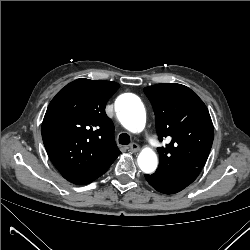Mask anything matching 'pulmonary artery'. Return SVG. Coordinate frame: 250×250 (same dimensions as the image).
Here are the masks:
<instances>
[{"mask_svg":"<svg viewBox=\"0 0 250 250\" xmlns=\"http://www.w3.org/2000/svg\"><path fill=\"white\" fill-rule=\"evenodd\" d=\"M149 145H150L152 148H154V149H156V148L158 147L157 142L154 141V140H152V139L149 140Z\"/></svg>","mask_w":250,"mask_h":250,"instance_id":"pulmonary-artery-1","label":"pulmonary artery"}]
</instances>
